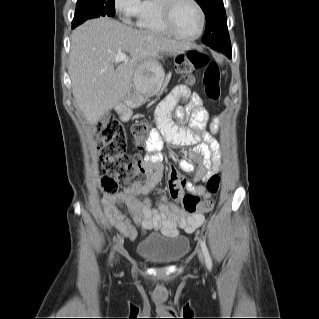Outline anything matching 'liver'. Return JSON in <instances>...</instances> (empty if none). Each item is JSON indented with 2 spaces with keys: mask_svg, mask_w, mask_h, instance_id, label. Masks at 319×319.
I'll return each mask as SVG.
<instances>
[{
  "mask_svg": "<svg viewBox=\"0 0 319 319\" xmlns=\"http://www.w3.org/2000/svg\"><path fill=\"white\" fill-rule=\"evenodd\" d=\"M188 43L137 30L117 20L100 17L78 26L71 35L69 74L72 93L90 124L97 123L132 87L137 67L159 53H183ZM129 53L115 69L119 53Z\"/></svg>",
  "mask_w": 319,
  "mask_h": 319,
  "instance_id": "liver-1",
  "label": "liver"
}]
</instances>
